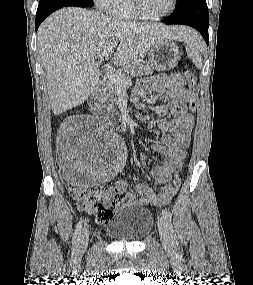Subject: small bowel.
<instances>
[{"mask_svg":"<svg viewBox=\"0 0 253 285\" xmlns=\"http://www.w3.org/2000/svg\"><path fill=\"white\" fill-rule=\"evenodd\" d=\"M153 92L162 94L161 102L168 106L172 119L162 121L158 125L162 143L153 145L152 149L164 156L165 161L154 166L151 175L157 184H165L171 179L173 183L161 187L158 192H154L146 184L138 183L135 185V190L139 197L129 193L127 195L129 205H165L170 202L178 191V172L183 165L186 149L191 141L194 118L186 112L185 108L191 93L184 88L183 76L180 74H173L170 77L157 75L139 80L132 91V100L137 104L138 109L150 108L140 103V100ZM66 149L67 146H64V150ZM126 187L127 183L124 180L117 181L114 185V188L124 191Z\"/></svg>","mask_w":253,"mask_h":285,"instance_id":"c3829d8e","label":"small bowel"}]
</instances>
